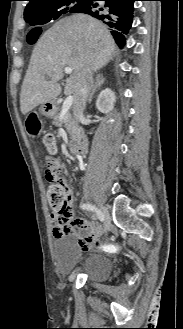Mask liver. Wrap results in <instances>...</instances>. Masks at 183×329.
<instances>
[{"instance_id": "6515ba94", "label": "liver", "mask_w": 183, "mask_h": 329, "mask_svg": "<svg viewBox=\"0 0 183 329\" xmlns=\"http://www.w3.org/2000/svg\"><path fill=\"white\" fill-rule=\"evenodd\" d=\"M115 48L107 27L89 15L76 14L57 21L41 36L32 52L20 93L22 114L60 95L62 88L58 82L64 77L65 67L73 69L65 94H75L84 69L89 66L96 72L103 68Z\"/></svg>"}]
</instances>
